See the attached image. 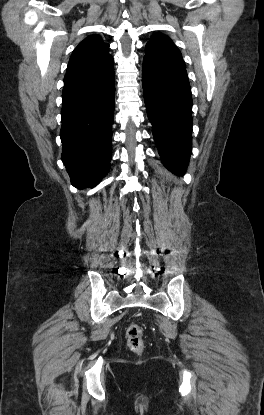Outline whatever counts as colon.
<instances>
[{
	"instance_id": "5ec220e1",
	"label": "colon",
	"mask_w": 264,
	"mask_h": 415,
	"mask_svg": "<svg viewBox=\"0 0 264 415\" xmlns=\"http://www.w3.org/2000/svg\"><path fill=\"white\" fill-rule=\"evenodd\" d=\"M126 335L129 347L135 352H140L143 349L142 328L137 323L131 322L127 327Z\"/></svg>"
}]
</instances>
